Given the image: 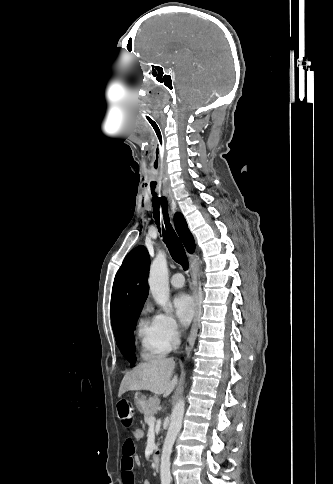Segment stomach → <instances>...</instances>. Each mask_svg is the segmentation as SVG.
Returning a JSON list of instances; mask_svg holds the SVG:
<instances>
[{
    "label": "stomach",
    "instance_id": "stomach-1",
    "mask_svg": "<svg viewBox=\"0 0 333 484\" xmlns=\"http://www.w3.org/2000/svg\"><path fill=\"white\" fill-rule=\"evenodd\" d=\"M134 403H135V406L138 409V411H140L142 413V412H144V410L147 406L148 398L143 394L136 393L135 397H134Z\"/></svg>",
    "mask_w": 333,
    "mask_h": 484
}]
</instances>
